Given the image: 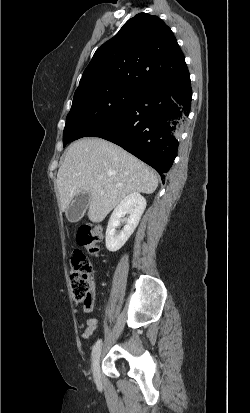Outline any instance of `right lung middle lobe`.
I'll return each instance as SVG.
<instances>
[{"label":"right lung middle lobe","mask_w":250,"mask_h":413,"mask_svg":"<svg viewBox=\"0 0 250 413\" xmlns=\"http://www.w3.org/2000/svg\"><path fill=\"white\" fill-rule=\"evenodd\" d=\"M140 92L127 86L90 88L75 92L63 132L64 147L113 119Z\"/></svg>","instance_id":"dd1d6c3e"}]
</instances>
